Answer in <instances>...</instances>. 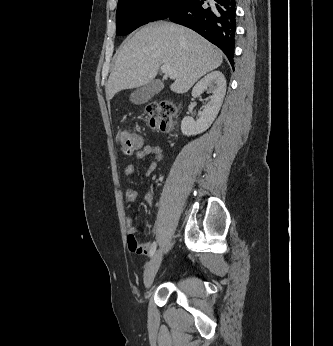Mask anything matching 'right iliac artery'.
<instances>
[{
    "label": "right iliac artery",
    "instance_id": "right-iliac-artery-1",
    "mask_svg": "<svg viewBox=\"0 0 333 346\" xmlns=\"http://www.w3.org/2000/svg\"><path fill=\"white\" fill-rule=\"evenodd\" d=\"M156 248H157V244H156V242H153L151 249H150L149 257H152L154 255Z\"/></svg>",
    "mask_w": 333,
    "mask_h": 346
}]
</instances>
